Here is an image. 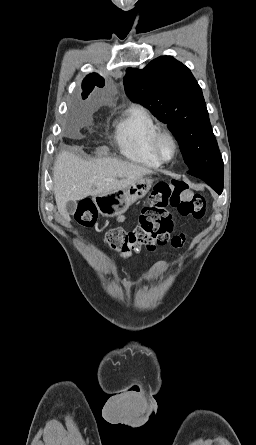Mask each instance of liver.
Returning a JSON list of instances; mask_svg holds the SVG:
<instances>
[{"mask_svg": "<svg viewBox=\"0 0 256 445\" xmlns=\"http://www.w3.org/2000/svg\"><path fill=\"white\" fill-rule=\"evenodd\" d=\"M154 172L146 167L102 158L86 161L63 151L54 164V195L59 213L68 219L66 203L127 188Z\"/></svg>", "mask_w": 256, "mask_h": 445, "instance_id": "obj_1", "label": "liver"}]
</instances>
